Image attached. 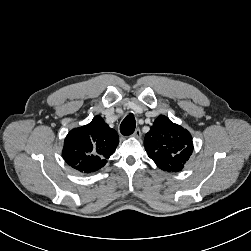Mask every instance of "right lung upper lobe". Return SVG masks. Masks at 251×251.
Listing matches in <instances>:
<instances>
[{
    "instance_id": "1",
    "label": "right lung upper lobe",
    "mask_w": 251,
    "mask_h": 251,
    "mask_svg": "<svg viewBox=\"0 0 251 251\" xmlns=\"http://www.w3.org/2000/svg\"><path fill=\"white\" fill-rule=\"evenodd\" d=\"M119 143L117 132L100 116L71 130L64 141L63 157L73 168L91 173L103 167Z\"/></svg>"
}]
</instances>
